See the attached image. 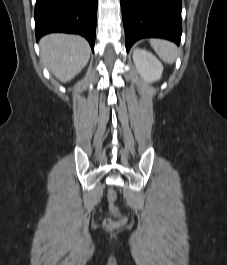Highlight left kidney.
Returning a JSON list of instances; mask_svg holds the SVG:
<instances>
[{"mask_svg":"<svg viewBox=\"0 0 227 265\" xmlns=\"http://www.w3.org/2000/svg\"><path fill=\"white\" fill-rule=\"evenodd\" d=\"M133 61L137 71L145 81L155 82L161 78L163 66L152 53L143 49H135Z\"/></svg>","mask_w":227,"mask_h":265,"instance_id":"5707ae66","label":"left kidney"}]
</instances>
